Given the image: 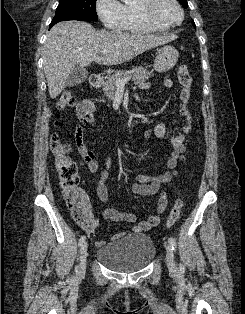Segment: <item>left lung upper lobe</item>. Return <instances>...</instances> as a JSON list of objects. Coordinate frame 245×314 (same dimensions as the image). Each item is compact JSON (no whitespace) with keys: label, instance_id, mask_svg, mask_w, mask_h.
<instances>
[{"label":"left lung upper lobe","instance_id":"5c2ea615","mask_svg":"<svg viewBox=\"0 0 245 314\" xmlns=\"http://www.w3.org/2000/svg\"><path fill=\"white\" fill-rule=\"evenodd\" d=\"M178 1L181 3V5H182L184 8H187V7H188V3H187L186 0H178ZM192 24L195 26L194 21H192ZM195 27H196V26H195Z\"/></svg>","mask_w":245,"mask_h":314}]
</instances>
